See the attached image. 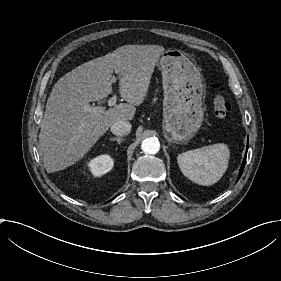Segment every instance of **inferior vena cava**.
I'll return each mask as SVG.
<instances>
[{
  "label": "inferior vena cava",
  "instance_id": "inferior-vena-cava-1",
  "mask_svg": "<svg viewBox=\"0 0 281 281\" xmlns=\"http://www.w3.org/2000/svg\"><path fill=\"white\" fill-rule=\"evenodd\" d=\"M131 124L128 121H117L115 124L111 126V132L114 135L118 136H126L131 131Z\"/></svg>",
  "mask_w": 281,
  "mask_h": 281
}]
</instances>
